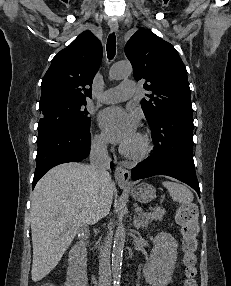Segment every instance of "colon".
Here are the masks:
<instances>
[{
	"instance_id": "colon-1",
	"label": "colon",
	"mask_w": 231,
	"mask_h": 286,
	"mask_svg": "<svg viewBox=\"0 0 231 286\" xmlns=\"http://www.w3.org/2000/svg\"><path fill=\"white\" fill-rule=\"evenodd\" d=\"M176 221L181 227L183 262L185 265L184 286H197L196 249L199 234L198 208L194 203L183 204L176 213ZM41 286H54L43 283Z\"/></svg>"
}]
</instances>
